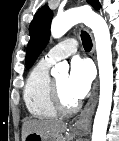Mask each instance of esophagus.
<instances>
[{
	"label": "esophagus",
	"instance_id": "1",
	"mask_svg": "<svg viewBox=\"0 0 119 141\" xmlns=\"http://www.w3.org/2000/svg\"><path fill=\"white\" fill-rule=\"evenodd\" d=\"M91 57L95 60V46L93 43V48L91 51ZM98 97V79L94 82L90 97L86 103L84 109L81 111L80 115L73 121L72 127L75 131L87 135L91 131L92 117L97 105Z\"/></svg>",
	"mask_w": 119,
	"mask_h": 141
}]
</instances>
